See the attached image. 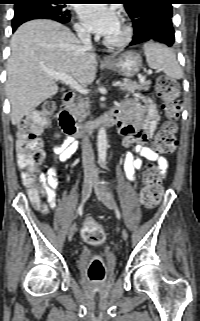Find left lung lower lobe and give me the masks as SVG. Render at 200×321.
Returning a JSON list of instances; mask_svg holds the SVG:
<instances>
[{"instance_id": "obj_1", "label": "left lung lower lobe", "mask_w": 200, "mask_h": 321, "mask_svg": "<svg viewBox=\"0 0 200 321\" xmlns=\"http://www.w3.org/2000/svg\"><path fill=\"white\" fill-rule=\"evenodd\" d=\"M134 37L130 45L157 41L172 46L175 41L172 17L165 14H149L132 21Z\"/></svg>"}]
</instances>
